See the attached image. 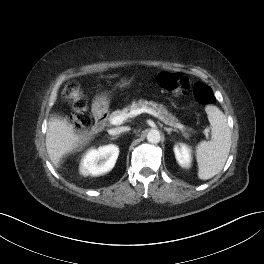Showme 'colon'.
Listing matches in <instances>:
<instances>
[{
    "instance_id": "obj_1",
    "label": "colon",
    "mask_w": 264,
    "mask_h": 264,
    "mask_svg": "<svg viewBox=\"0 0 264 264\" xmlns=\"http://www.w3.org/2000/svg\"><path fill=\"white\" fill-rule=\"evenodd\" d=\"M157 83L165 90L183 94L191 90L196 102L206 105L214 100L213 91L203 83L191 85L189 80L179 73H161L157 77ZM65 97L70 101L73 114L69 119L76 132L84 131L91 123L87 114V99L83 91L75 83L69 84L65 89Z\"/></svg>"
}]
</instances>
